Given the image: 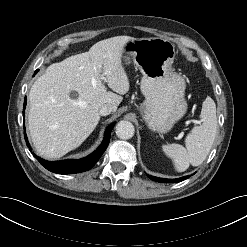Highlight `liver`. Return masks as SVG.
<instances>
[{
    "mask_svg": "<svg viewBox=\"0 0 247 247\" xmlns=\"http://www.w3.org/2000/svg\"><path fill=\"white\" fill-rule=\"evenodd\" d=\"M132 39L101 40L88 52L51 64L34 82L29 92L28 129L40 156L57 159L76 149L97 126L102 105L117 110L121 95L130 87L122 55ZM103 81L115 93L107 91ZM72 91L78 94L76 98L70 97Z\"/></svg>",
    "mask_w": 247,
    "mask_h": 247,
    "instance_id": "obj_1",
    "label": "liver"
}]
</instances>
